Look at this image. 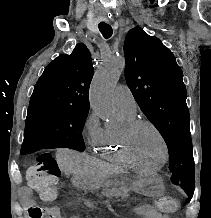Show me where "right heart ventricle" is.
<instances>
[{
	"mask_svg": "<svg viewBox=\"0 0 211 218\" xmlns=\"http://www.w3.org/2000/svg\"><path fill=\"white\" fill-rule=\"evenodd\" d=\"M119 109V108H118ZM124 125L135 119V114L119 109ZM93 154H100L104 158H108V162H114V165H124V169H135V164L131 163L122 142V128L104 129V132L96 143Z\"/></svg>",
	"mask_w": 211,
	"mask_h": 218,
	"instance_id": "1",
	"label": "right heart ventricle"
}]
</instances>
